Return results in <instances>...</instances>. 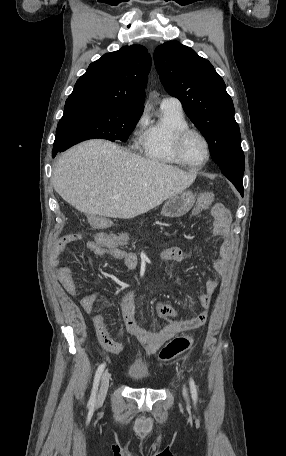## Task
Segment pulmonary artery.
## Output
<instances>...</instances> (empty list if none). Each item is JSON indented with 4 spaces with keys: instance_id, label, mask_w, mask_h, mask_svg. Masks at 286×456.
Segmentation results:
<instances>
[{
    "instance_id": "pulmonary-artery-1",
    "label": "pulmonary artery",
    "mask_w": 286,
    "mask_h": 456,
    "mask_svg": "<svg viewBox=\"0 0 286 456\" xmlns=\"http://www.w3.org/2000/svg\"><path fill=\"white\" fill-rule=\"evenodd\" d=\"M161 106L172 108L175 110H182V104L180 100L172 96L164 97L161 101Z\"/></svg>"
}]
</instances>
